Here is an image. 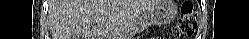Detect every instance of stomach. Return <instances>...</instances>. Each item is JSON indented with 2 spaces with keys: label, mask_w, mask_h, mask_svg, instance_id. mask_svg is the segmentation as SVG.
Masks as SVG:
<instances>
[{
  "label": "stomach",
  "mask_w": 249,
  "mask_h": 39,
  "mask_svg": "<svg viewBox=\"0 0 249 39\" xmlns=\"http://www.w3.org/2000/svg\"><path fill=\"white\" fill-rule=\"evenodd\" d=\"M176 11L175 4L171 0H156L147 8L142 16L136 18L127 29V34L121 38L132 37L153 25H165L171 22Z\"/></svg>",
  "instance_id": "obj_1"
}]
</instances>
